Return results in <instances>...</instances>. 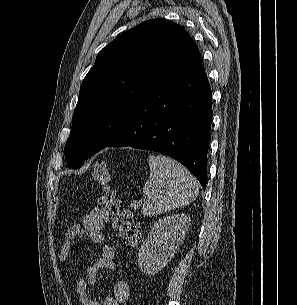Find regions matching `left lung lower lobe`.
<instances>
[{
    "mask_svg": "<svg viewBox=\"0 0 297 305\" xmlns=\"http://www.w3.org/2000/svg\"><path fill=\"white\" fill-rule=\"evenodd\" d=\"M211 93L203 69L157 85L133 107L105 147L131 146L166 154L186 166L205 189Z\"/></svg>",
    "mask_w": 297,
    "mask_h": 305,
    "instance_id": "0a47b994",
    "label": "left lung lower lobe"
}]
</instances>
